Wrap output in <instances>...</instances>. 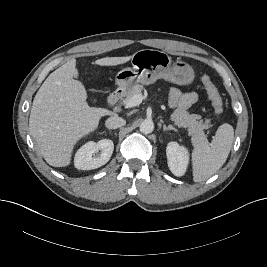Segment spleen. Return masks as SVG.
Segmentation results:
<instances>
[{"instance_id": "spleen-1", "label": "spleen", "mask_w": 267, "mask_h": 267, "mask_svg": "<svg viewBox=\"0 0 267 267\" xmlns=\"http://www.w3.org/2000/svg\"><path fill=\"white\" fill-rule=\"evenodd\" d=\"M234 140V129L219 126L211 143H198L192 152L193 180L202 182L214 175L225 163Z\"/></svg>"}]
</instances>
